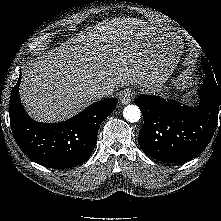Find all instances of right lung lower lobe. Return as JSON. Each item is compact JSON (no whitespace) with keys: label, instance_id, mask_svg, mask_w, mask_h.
I'll use <instances>...</instances> for the list:
<instances>
[{"label":"right lung lower lobe","instance_id":"98d812e1","mask_svg":"<svg viewBox=\"0 0 221 221\" xmlns=\"http://www.w3.org/2000/svg\"><path fill=\"white\" fill-rule=\"evenodd\" d=\"M13 87L9 103L11 129L16 143L32 161L54 169L71 168L91 155L102 121L114 110L117 98L91 104L76 116L60 123H40L25 112L19 84Z\"/></svg>","mask_w":221,"mask_h":221}]
</instances>
